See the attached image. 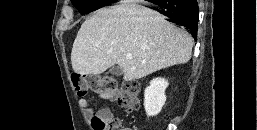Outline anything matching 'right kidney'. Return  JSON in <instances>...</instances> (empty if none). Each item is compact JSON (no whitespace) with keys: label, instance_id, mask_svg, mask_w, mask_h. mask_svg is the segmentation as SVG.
<instances>
[{"label":"right kidney","instance_id":"obj_1","mask_svg":"<svg viewBox=\"0 0 257 130\" xmlns=\"http://www.w3.org/2000/svg\"><path fill=\"white\" fill-rule=\"evenodd\" d=\"M169 83L164 78H155L144 92V108L147 116H155L160 113L166 102L165 90Z\"/></svg>","mask_w":257,"mask_h":130}]
</instances>
